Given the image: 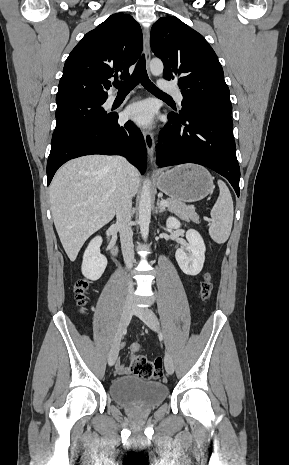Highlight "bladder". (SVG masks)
<instances>
[{
    "mask_svg": "<svg viewBox=\"0 0 289 465\" xmlns=\"http://www.w3.org/2000/svg\"><path fill=\"white\" fill-rule=\"evenodd\" d=\"M109 395L122 406L153 408L165 401L168 387L160 381L131 375L113 380L109 386Z\"/></svg>",
    "mask_w": 289,
    "mask_h": 465,
    "instance_id": "31cf9c89",
    "label": "bladder"
}]
</instances>
